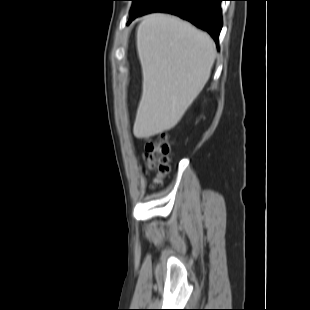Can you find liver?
Returning <instances> with one entry per match:
<instances>
[{"label":"liver","mask_w":310,"mask_h":310,"mask_svg":"<svg viewBox=\"0 0 310 310\" xmlns=\"http://www.w3.org/2000/svg\"><path fill=\"white\" fill-rule=\"evenodd\" d=\"M136 42L143 84L133 133L149 138L181 120L210 77L216 47L207 33L161 13L143 18Z\"/></svg>","instance_id":"liver-1"}]
</instances>
